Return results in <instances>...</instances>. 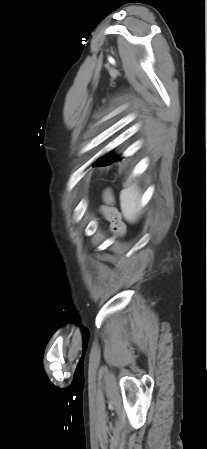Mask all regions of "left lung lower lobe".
Instances as JSON below:
<instances>
[{"mask_svg": "<svg viewBox=\"0 0 207 449\" xmlns=\"http://www.w3.org/2000/svg\"><path fill=\"white\" fill-rule=\"evenodd\" d=\"M110 154V153H109ZM109 154L105 155L104 157L100 158L93 166H103V165H107L110 164L112 162H115L116 160H118L119 158H111L109 157Z\"/></svg>", "mask_w": 207, "mask_h": 449, "instance_id": "obj_1", "label": "left lung lower lobe"}]
</instances>
